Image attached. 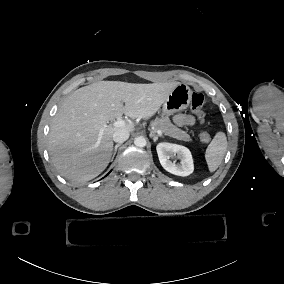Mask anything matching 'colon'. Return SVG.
I'll use <instances>...</instances> for the list:
<instances>
[{
	"label": "colon",
	"instance_id": "5ec220e1",
	"mask_svg": "<svg viewBox=\"0 0 284 284\" xmlns=\"http://www.w3.org/2000/svg\"><path fill=\"white\" fill-rule=\"evenodd\" d=\"M204 105V97L202 94L198 92H193L191 95V107L193 111L195 112L197 118L201 121H204L205 119V113L202 109ZM200 139L202 142L206 143L210 141V134L207 132H202L200 134Z\"/></svg>",
	"mask_w": 284,
	"mask_h": 284
}]
</instances>
